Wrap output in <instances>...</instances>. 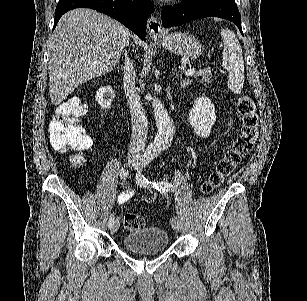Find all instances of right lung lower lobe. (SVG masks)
<instances>
[{"mask_svg":"<svg viewBox=\"0 0 307 301\" xmlns=\"http://www.w3.org/2000/svg\"><path fill=\"white\" fill-rule=\"evenodd\" d=\"M82 7L94 9L118 20L141 40L145 39L146 23L154 11V4L150 0H59L55 10L54 28L64 13Z\"/></svg>","mask_w":307,"mask_h":301,"instance_id":"obj_1","label":"right lung lower lobe"}]
</instances>
